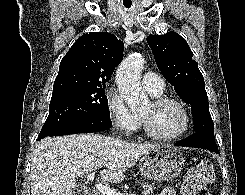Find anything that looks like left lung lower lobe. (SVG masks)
Returning a JSON list of instances; mask_svg holds the SVG:
<instances>
[{"instance_id":"obj_1","label":"left lung lower lobe","mask_w":245,"mask_h":195,"mask_svg":"<svg viewBox=\"0 0 245 195\" xmlns=\"http://www.w3.org/2000/svg\"><path fill=\"white\" fill-rule=\"evenodd\" d=\"M175 145L206 149L220 155L215 139H212L203 133H194L191 136L175 143Z\"/></svg>"}]
</instances>
